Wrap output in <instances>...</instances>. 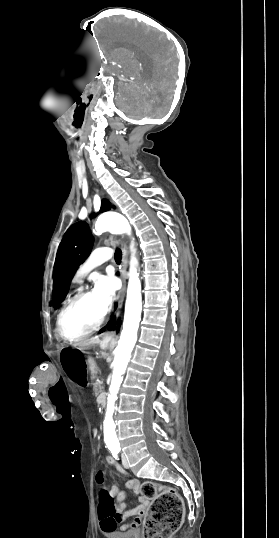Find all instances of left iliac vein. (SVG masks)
I'll list each match as a JSON object with an SVG mask.
<instances>
[{
  "label": "left iliac vein",
  "mask_w": 279,
  "mask_h": 538,
  "mask_svg": "<svg viewBox=\"0 0 279 538\" xmlns=\"http://www.w3.org/2000/svg\"><path fill=\"white\" fill-rule=\"evenodd\" d=\"M121 458H122V464H123V466H124L126 469H128V468H129V463H128V460H127L126 455H125V454H122Z\"/></svg>",
  "instance_id": "obj_1"
}]
</instances>
